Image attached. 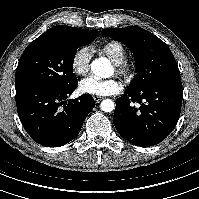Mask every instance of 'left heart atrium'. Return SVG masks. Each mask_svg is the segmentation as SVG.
Masks as SVG:
<instances>
[{"instance_id":"39dd6f15","label":"left heart atrium","mask_w":199,"mask_h":199,"mask_svg":"<svg viewBox=\"0 0 199 199\" xmlns=\"http://www.w3.org/2000/svg\"><path fill=\"white\" fill-rule=\"evenodd\" d=\"M122 83L115 77L108 79L86 78L80 82L82 93L93 96H109L122 90Z\"/></svg>"}]
</instances>
